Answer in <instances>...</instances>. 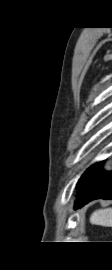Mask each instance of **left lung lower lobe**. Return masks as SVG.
<instances>
[{"mask_svg": "<svg viewBox=\"0 0 112 270\" xmlns=\"http://www.w3.org/2000/svg\"><path fill=\"white\" fill-rule=\"evenodd\" d=\"M103 163L93 165L79 179L75 209L94 199H112V172L104 171Z\"/></svg>", "mask_w": 112, "mask_h": 270, "instance_id": "obj_1", "label": "left lung lower lobe"}]
</instances>
